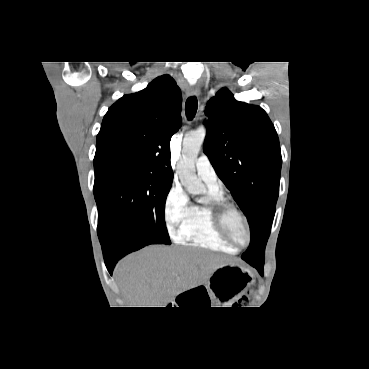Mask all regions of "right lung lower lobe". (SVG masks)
I'll list each match as a JSON object with an SVG mask.
<instances>
[{
    "label": "right lung lower lobe",
    "mask_w": 369,
    "mask_h": 369,
    "mask_svg": "<svg viewBox=\"0 0 369 369\" xmlns=\"http://www.w3.org/2000/svg\"><path fill=\"white\" fill-rule=\"evenodd\" d=\"M147 242L140 239L137 235L117 232L111 237L102 242V251L105 263L109 273L112 275L116 262L126 254L145 247Z\"/></svg>",
    "instance_id": "1"
}]
</instances>
